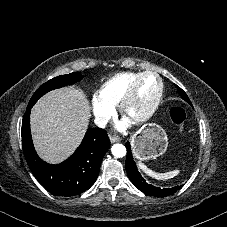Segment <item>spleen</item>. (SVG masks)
<instances>
[{
	"label": "spleen",
	"mask_w": 227,
	"mask_h": 227,
	"mask_svg": "<svg viewBox=\"0 0 227 227\" xmlns=\"http://www.w3.org/2000/svg\"><path fill=\"white\" fill-rule=\"evenodd\" d=\"M137 166H138L139 170L143 171L148 176L158 179V180H167V179L173 178L174 176L178 175V173H179V170H173V171L166 172V173H156V172L150 170L145 164H143L141 162H137Z\"/></svg>",
	"instance_id": "obj_1"
}]
</instances>
